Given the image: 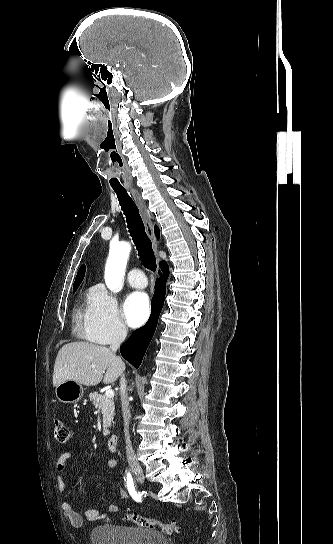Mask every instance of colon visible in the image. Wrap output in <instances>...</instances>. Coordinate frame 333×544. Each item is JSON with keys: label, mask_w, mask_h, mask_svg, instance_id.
Listing matches in <instances>:
<instances>
[{"label": "colon", "mask_w": 333, "mask_h": 544, "mask_svg": "<svg viewBox=\"0 0 333 544\" xmlns=\"http://www.w3.org/2000/svg\"><path fill=\"white\" fill-rule=\"evenodd\" d=\"M54 438L60 444L67 443L71 438L69 428L59 419L54 420ZM123 519L140 527L161 529L168 535L177 533L179 531V527L174 521L162 522L150 517L140 516L132 512L124 513Z\"/></svg>", "instance_id": "obj_1"}]
</instances>
